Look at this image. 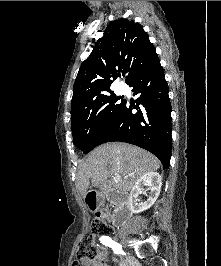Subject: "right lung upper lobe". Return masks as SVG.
Listing matches in <instances>:
<instances>
[{"mask_svg": "<svg viewBox=\"0 0 221 266\" xmlns=\"http://www.w3.org/2000/svg\"><path fill=\"white\" fill-rule=\"evenodd\" d=\"M159 60L148 34L139 23L119 19L110 23L77 74L71 118L86 112L95 99L110 90L120 72L129 84L137 73Z\"/></svg>", "mask_w": 221, "mask_h": 266, "instance_id": "1", "label": "right lung upper lobe"}]
</instances>
